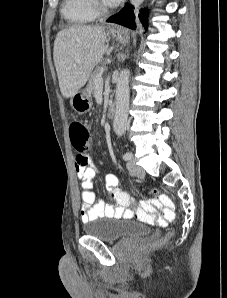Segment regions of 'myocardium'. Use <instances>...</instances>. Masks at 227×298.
Wrapping results in <instances>:
<instances>
[{"label":"myocardium","instance_id":"myocardium-1","mask_svg":"<svg viewBox=\"0 0 227 298\" xmlns=\"http://www.w3.org/2000/svg\"><path fill=\"white\" fill-rule=\"evenodd\" d=\"M93 7L97 14H106L108 12V8L105 6L104 2L101 0H92Z\"/></svg>","mask_w":227,"mask_h":298}]
</instances>
